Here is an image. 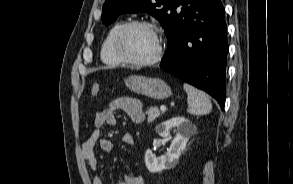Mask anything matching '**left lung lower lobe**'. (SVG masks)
<instances>
[{
	"instance_id": "left-lung-lower-lobe-1",
	"label": "left lung lower lobe",
	"mask_w": 293,
	"mask_h": 184,
	"mask_svg": "<svg viewBox=\"0 0 293 184\" xmlns=\"http://www.w3.org/2000/svg\"><path fill=\"white\" fill-rule=\"evenodd\" d=\"M221 0H179L160 67L206 91L224 108L227 27Z\"/></svg>"
}]
</instances>
